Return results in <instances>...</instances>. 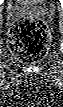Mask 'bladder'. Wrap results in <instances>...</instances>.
<instances>
[{"mask_svg": "<svg viewBox=\"0 0 63 107\" xmlns=\"http://www.w3.org/2000/svg\"><path fill=\"white\" fill-rule=\"evenodd\" d=\"M16 2L19 4H26V3L38 4L41 1L40 0H38V1L16 0Z\"/></svg>", "mask_w": 63, "mask_h": 107, "instance_id": "31cf9c89", "label": "bladder"}]
</instances>
